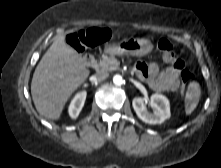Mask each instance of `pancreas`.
<instances>
[{
	"label": "pancreas",
	"mask_w": 221,
	"mask_h": 168,
	"mask_svg": "<svg viewBox=\"0 0 221 168\" xmlns=\"http://www.w3.org/2000/svg\"><path fill=\"white\" fill-rule=\"evenodd\" d=\"M97 71H113L119 69V62L114 56H103L96 64Z\"/></svg>",
	"instance_id": "obj_1"
}]
</instances>
